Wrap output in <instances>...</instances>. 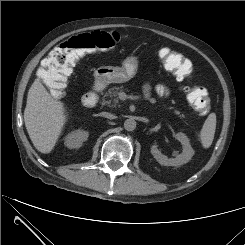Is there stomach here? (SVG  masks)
Returning <instances> with one entry per match:
<instances>
[{
    "label": "stomach",
    "mask_w": 245,
    "mask_h": 245,
    "mask_svg": "<svg viewBox=\"0 0 245 245\" xmlns=\"http://www.w3.org/2000/svg\"><path fill=\"white\" fill-rule=\"evenodd\" d=\"M139 65L138 57L128 56L121 67L101 66L94 72L97 83L108 85L110 83H124L131 80L137 73Z\"/></svg>",
    "instance_id": "stomach-1"
}]
</instances>
